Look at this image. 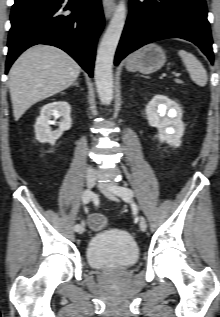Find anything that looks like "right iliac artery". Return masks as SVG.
Masks as SVG:
<instances>
[{"instance_id": "1", "label": "right iliac artery", "mask_w": 220, "mask_h": 317, "mask_svg": "<svg viewBox=\"0 0 220 317\" xmlns=\"http://www.w3.org/2000/svg\"><path fill=\"white\" fill-rule=\"evenodd\" d=\"M90 199H91V192L88 190L84 191L83 196H82V202L84 204H88L90 202ZM81 224H76L74 226V230L78 232L80 227H81Z\"/></svg>"}]
</instances>
